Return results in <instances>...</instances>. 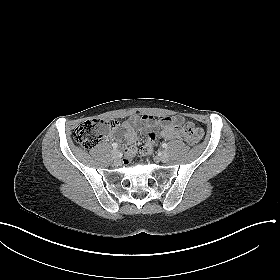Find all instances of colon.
Instances as JSON below:
<instances>
[{
  "label": "colon",
  "instance_id": "obj_1",
  "mask_svg": "<svg viewBox=\"0 0 280 280\" xmlns=\"http://www.w3.org/2000/svg\"><path fill=\"white\" fill-rule=\"evenodd\" d=\"M115 120L91 119L83 122L74 131V139L85 149H92L98 142L113 128ZM182 130L185 140L190 144L198 143L203 137V130L191 122L182 123ZM150 145L141 148L142 154H149L152 151ZM126 161H128L126 159Z\"/></svg>",
  "mask_w": 280,
  "mask_h": 280
}]
</instances>
